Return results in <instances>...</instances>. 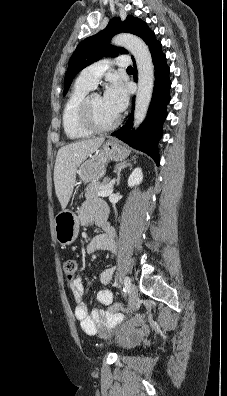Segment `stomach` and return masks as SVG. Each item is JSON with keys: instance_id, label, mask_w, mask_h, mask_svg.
I'll use <instances>...</instances> for the list:
<instances>
[{"instance_id": "1", "label": "stomach", "mask_w": 227, "mask_h": 396, "mask_svg": "<svg viewBox=\"0 0 227 396\" xmlns=\"http://www.w3.org/2000/svg\"><path fill=\"white\" fill-rule=\"evenodd\" d=\"M130 151L114 140L106 141L94 155L83 161L77 170L80 180L84 183L96 182L106 172L109 161H122ZM55 237L61 245L72 244L79 233V220L75 213L69 210L59 212L54 218Z\"/></svg>"}]
</instances>
